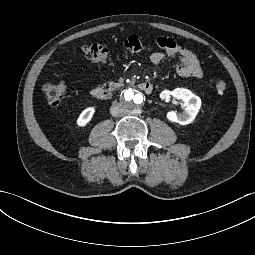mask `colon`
Masks as SVG:
<instances>
[{"mask_svg":"<svg viewBox=\"0 0 255 255\" xmlns=\"http://www.w3.org/2000/svg\"><path fill=\"white\" fill-rule=\"evenodd\" d=\"M124 49L128 53L137 54L146 52L150 48L137 36L132 35L124 40ZM83 52L86 58L93 62L105 63L110 58V50L99 43L85 45ZM215 89L218 93H223L226 90L225 81L218 80L215 83ZM42 91L47 103L50 106H57L66 92V85L63 82H47L43 85Z\"/></svg>","mask_w":255,"mask_h":255,"instance_id":"1","label":"colon"}]
</instances>
